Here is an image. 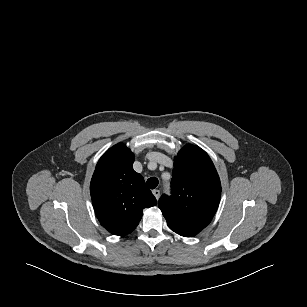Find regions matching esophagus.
<instances>
[{
  "instance_id": "obj_1",
  "label": "esophagus",
  "mask_w": 307,
  "mask_h": 307,
  "mask_svg": "<svg viewBox=\"0 0 307 307\" xmlns=\"http://www.w3.org/2000/svg\"><path fill=\"white\" fill-rule=\"evenodd\" d=\"M153 195L155 196V198L158 200L160 197V190L155 189L152 191Z\"/></svg>"
}]
</instances>
